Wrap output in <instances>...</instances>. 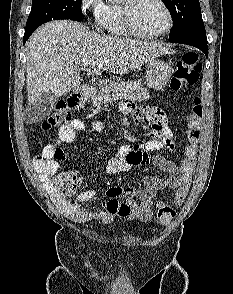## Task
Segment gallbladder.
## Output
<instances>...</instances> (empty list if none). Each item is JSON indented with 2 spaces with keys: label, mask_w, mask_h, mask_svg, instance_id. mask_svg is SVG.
<instances>
[{
  "label": "gallbladder",
  "mask_w": 233,
  "mask_h": 294,
  "mask_svg": "<svg viewBox=\"0 0 233 294\" xmlns=\"http://www.w3.org/2000/svg\"><path fill=\"white\" fill-rule=\"evenodd\" d=\"M57 101L52 93L42 94L29 109L27 114L29 120L40 121L50 115Z\"/></svg>",
  "instance_id": "1"
}]
</instances>
